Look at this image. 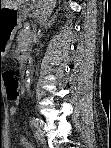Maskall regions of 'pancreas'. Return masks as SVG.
Here are the masks:
<instances>
[{"mask_svg":"<svg viewBox=\"0 0 111 148\" xmlns=\"http://www.w3.org/2000/svg\"><path fill=\"white\" fill-rule=\"evenodd\" d=\"M30 33L27 30H21L19 32V40H20V44H24V43H30V37H29Z\"/></svg>","mask_w":111,"mask_h":148,"instance_id":"obj_1","label":"pancreas"}]
</instances>
